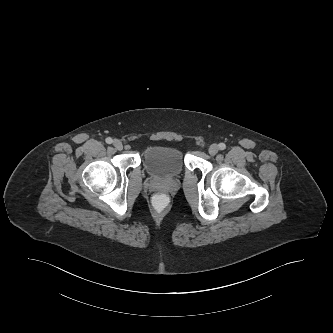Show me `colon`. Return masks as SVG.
Masks as SVG:
<instances>
[{"instance_id":"colon-1","label":"colon","mask_w":333,"mask_h":333,"mask_svg":"<svg viewBox=\"0 0 333 333\" xmlns=\"http://www.w3.org/2000/svg\"><path fill=\"white\" fill-rule=\"evenodd\" d=\"M169 196L164 191L156 192L151 198L152 209L156 213H163L167 209Z\"/></svg>"}]
</instances>
